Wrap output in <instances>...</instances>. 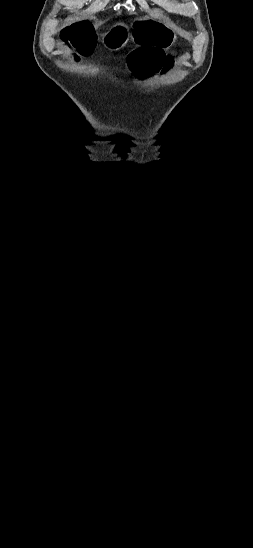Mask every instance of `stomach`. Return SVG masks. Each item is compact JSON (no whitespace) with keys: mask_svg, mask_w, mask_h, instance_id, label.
<instances>
[{"mask_svg":"<svg viewBox=\"0 0 253 548\" xmlns=\"http://www.w3.org/2000/svg\"><path fill=\"white\" fill-rule=\"evenodd\" d=\"M174 32L159 21L143 19L136 21L133 34L129 33L126 24L119 22L115 24L102 37L105 48L117 51L123 48L132 39L138 44L162 43L168 47L175 41Z\"/></svg>","mask_w":253,"mask_h":548,"instance_id":"1","label":"stomach"}]
</instances>
